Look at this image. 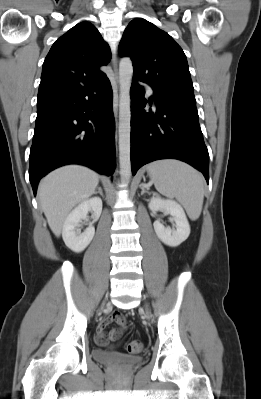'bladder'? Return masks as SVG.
Here are the masks:
<instances>
[{"mask_svg": "<svg viewBox=\"0 0 261 399\" xmlns=\"http://www.w3.org/2000/svg\"><path fill=\"white\" fill-rule=\"evenodd\" d=\"M92 356L95 361L107 365H132L139 363L141 360L138 356H130L120 352L100 349L93 350Z\"/></svg>", "mask_w": 261, "mask_h": 399, "instance_id": "bladder-1", "label": "bladder"}]
</instances>
